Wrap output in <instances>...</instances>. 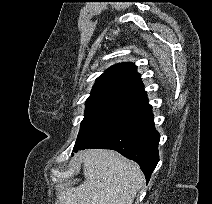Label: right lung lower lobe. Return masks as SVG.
Returning <instances> with one entry per match:
<instances>
[{
  "mask_svg": "<svg viewBox=\"0 0 212 204\" xmlns=\"http://www.w3.org/2000/svg\"><path fill=\"white\" fill-rule=\"evenodd\" d=\"M151 108V105H146L126 127L111 137L96 145L74 151L88 148L116 150L126 158L137 162L148 182L159 161L158 144L160 139V135L154 127Z\"/></svg>",
  "mask_w": 212,
  "mask_h": 204,
  "instance_id": "98d812e1",
  "label": "right lung lower lobe"
}]
</instances>
